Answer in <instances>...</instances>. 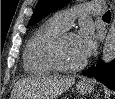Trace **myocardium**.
<instances>
[{
    "label": "myocardium",
    "instance_id": "obj_1",
    "mask_svg": "<svg viewBox=\"0 0 115 99\" xmlns=\"http://www.w3.org/2000/svg\"><path fill=\"white\" fill-rule=\"evenodd\" d=\"M74 33L71 31H64L57 35L49 44L47 48V57L51 64L55 67L56 70L63 72H75L81 70L87 64V60L84 59L81 63L76 65H68L63 62L60 49L63 42L70 36H73Z\"/></svg>",
    "mask_w": 115,
    "mask_h": 99
}]
</instances>
